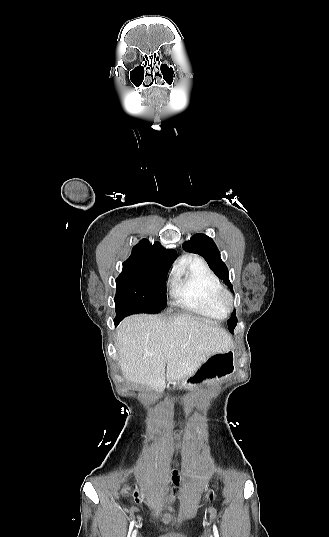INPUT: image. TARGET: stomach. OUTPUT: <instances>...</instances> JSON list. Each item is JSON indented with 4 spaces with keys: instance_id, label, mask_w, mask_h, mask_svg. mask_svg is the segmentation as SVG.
I'll use <instances>...</instances> for the list:
<instances>
[{
    "instance_id": "1",
    "label": "stomach",
    "mask_w": 329,
    "mask_h": 537,
    "mask_svg": "<svg viewBox=\"0 0 329 537\" xmlns=\"http://www.w3.org/2000/svg\"><path fill=\"white\" fill-rule=\"evenodd\" d=\"M235 357L236 353L233 348L215 353L192 375L180 381H169L168 386L174 388L179 385L186 389H191L196 385L204 384L214 379L222 380L235 372Z\"/></svg>"
}]
</instances>
